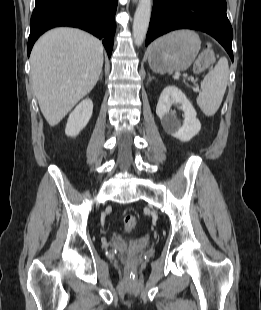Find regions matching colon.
<instances>
[{
  "label": "colon",
  "instance_id": "obj_1",
  "mask_svg": "<svg viewBox=\"0 0 261 310\" xmlns=\"http://www.w3.org/2000/svg\"><path fill=\"white\" fill-rule=\"evenodd\" d=\"M214 61H215V54L213 50L209 48L205 49L199 54L194 64V70L196 72H204L212 66ZM136 226H137L136 216L129 214L123 218V227L125 231L130 232L134 230Z\"/></svg>",
  "mask_w": 261,
  "mask_h": 310
}]
</instances>
